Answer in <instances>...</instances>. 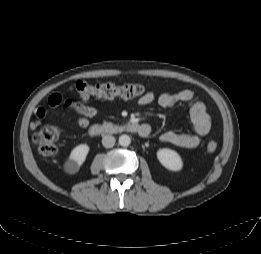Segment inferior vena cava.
I'll return each instance as SVG.
<instances>
[{"instance_id": "1", "label": "inferior vena cava", "mask_w": 261, "mask_h": 254, "mask_svg": "<svg viewBox=\"0 0 261 254\" xmlns=\"http://www.w3.org/2000/svg\"><path fill=\"white\" fill-rule=\"evenodd\" d=\"M102 144L105 148H111L115 144V138L111 135H105L102 138Z\"/></svg>"}]
</instances>
